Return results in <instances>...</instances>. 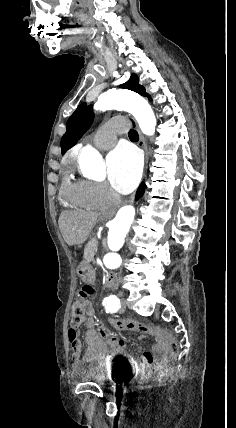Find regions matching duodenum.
<instances>
[{"label": "duodenum", "mask_w": 236, "mask_h": 428, "mask_svg": "<svg viewBox=\"0 0 236 428\" xmlns=\"http://www.w3.org/2000/svg\"><path fill=\"white\" fill-rule=\"evenodd\" d=\"M117 284V275L115 273H107L105 276V285L107 289L115 288Z\"/></svg>", "instance_id": "1"}]
</instances>
